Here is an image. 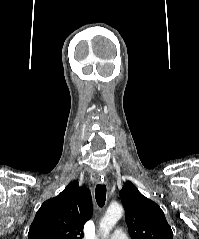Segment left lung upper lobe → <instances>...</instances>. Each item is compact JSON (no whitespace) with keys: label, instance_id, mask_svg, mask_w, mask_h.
I'll return each mask as SVG.
<instances>
[{"label":"left lung upper lobe","instance_id":"left-lung-upper-lobe-1","mask_svg":"<svg viewBox=\"0 0 199 239\" xmlns=\"http://www.w3.org/2000/svg\"><path fill=\"white\" fill-rule=\"evenodd\" d=\"M131 239H173V232L161 208L127 182L120 191Z\"/></svg>","mask_w":199,"mask_h":239}]
</instances>
